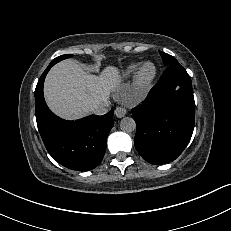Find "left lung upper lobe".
Returning <instances> with one entry per match:
<instances>
[{"label":"left lung upper lobe","instance_id":"5c2ea615","mask_svg":"<svg viewBox=\"0 0 231 231\" xmlns=\"http://www.w3.org/2000/svg\"><path fill=\"white\" fill-rule=\"evenodd\" d=\"M159 53L163 59V63L165 66H169L171 64L178 63V61L173 56H171L167 53L161 52V51H159Z\"/></svg>","mask_w":231,"mask_h":231}]
</instances>
